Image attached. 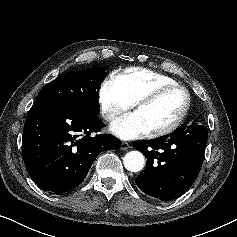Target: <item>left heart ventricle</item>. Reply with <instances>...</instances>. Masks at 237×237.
Listing matches in <instances>:
<instances>
[{"label": "left heart ventricle", "mask_w": 237, "mask_h": 237, "mask_svg": "<svg viewBox=\"0 0 237 237\" xmlns=\"http://www.w3.org/2000/svg\"><path fill=\"white\" fill-rule=\"evenodd\" d=\"M185 95L181 90L165 92L153 102L135 109L149 131L168 126L181 112Z\"/></svg>", "instance_id": "b2bd125f"}]
</instances>
